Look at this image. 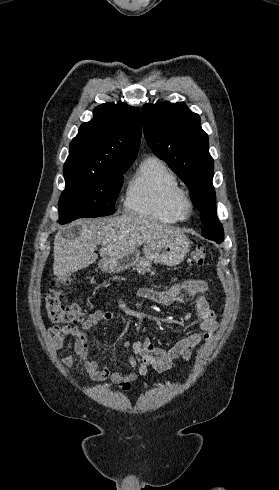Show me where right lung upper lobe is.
Segmentation results:
<instances>
[{
  "instance_id": "cb5924a9",
  "label": "right lung upper lobe",
  "mask_w": 279,
  "mask_h": 490,
  "mask_svg": "<svg viewBox=\"0 0 279 490\" xmlns=\"http://www.w3.org/2000/svg\"><path fill=\"white\" fill-rule=\"evenodd\" d=\"M142 133L138 109L119 102L94 109V118L83 123L70 143L64 171L103 172L131 165Z\"/></svg>"
}]
</instances>
